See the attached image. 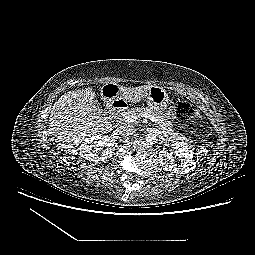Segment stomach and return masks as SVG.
I'll use <instances>...</instances> for the list:
<instances>
[{
    "instance_id": "stomach-1",
    "label": "stomach",
    "mask_w": 255,
    "mask_h": 255,
    "mask_svg": "<svg viewBox=\"0 0 255 255\" xmlns=\"http://www.w3.org/2000/svg\"><path fill=\"white\" fill-rule=\"evenodd\" d=\"M101 92L102 98L111 103L114 101L123 100L120 96L119 86H115V92L112 95H106L103 90ZM144 99L150 109H152L155 113L163 116L164 118L170 117L171 110L169 108V95L163 87L156 85L151 86Z\"/></svg>"
}]
</instances>
